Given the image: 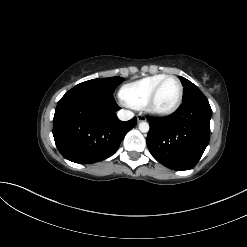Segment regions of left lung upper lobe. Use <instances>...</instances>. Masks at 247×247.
<instances>
[{
	"mask_svg": "<svg viewBox=\"0 0 247 247\" xmlns=\"http://www.w3.org/2000/svg\"><path fill=\"white\" fill-rule=\"evenodd\" d=\"M180 80H181L182 85L184 86L182 102H185L193 98L194 96L203 94L199 90V88L196 85H194L191 81H189L188 79L180 76Z\"/></svg>",
	"mask_w": 247,
	"mask_h": 247,
	"instance_id": "5c2ea615",
	"label": "left lung upper lobe"
}]
</instances>
